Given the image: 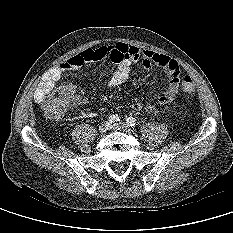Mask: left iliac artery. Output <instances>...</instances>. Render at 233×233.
I'll list each match as a JSON object with an SVG mask.
<instances>
[{"label":"left iliac artery","instance_id":"44dca946","mask_svg":"<svg viewBox=\"0 0 233 233\" xmlns=\"http://www.w3.org/2000/svg\"><path fill=\"white\" fill-rule=\"evenodd\" d=\"M127 125H129V126H131V127H133V126H135V124H136V119L134 118V117H129L128 119H127Z\"/></svg>","mask_w":233,"mask_h":233}]
</instances>
